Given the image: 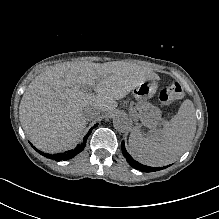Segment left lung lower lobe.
<instances>
[{"instance_id":"1","label":"left lung lower lobe","mask_w":219,"mask_h":219,"mask_svg":"<svg viewBox=\"0 0 219 219\" xmlns=\"http://www.w3.org/2000/svg\"><path fill=\"white\" fill-rule=\"evenodd\" d=\"M121 150H122V153L124 155V157L127 159V162L135 169H138L140 171H143V172H153V171H158V170H162L163 168H167L168 166H165V167H150V166H146V165H143L135 160L132 159V157L130 156V154L126 151V148H125V144L124 142L121 143Z\"/></svg>"}]
</instances>
